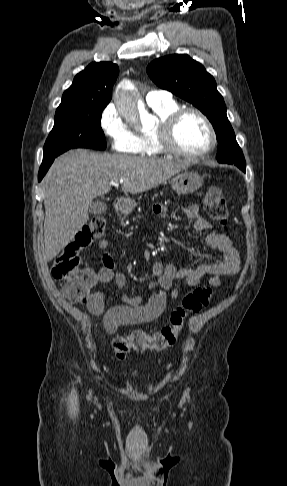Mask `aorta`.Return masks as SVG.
<instances>
[{"mask_svg": "<svg viewBox=\"0 0 287 486\" xmlns=\"http://www.w3.org/2000/svg\"><path fill=\"white\" fill-rule=\"evenodd\" d=\"M117 109L128 122H141L143 127H151L155 122V117L145 110L137 94L125 87L117 91Z\"/></svg>", "mask_w": 287, "mask_h": 486, "instance_id": "aorta-1", "label": "aorta"}]
</instances>
